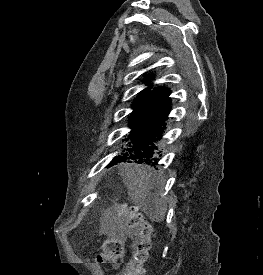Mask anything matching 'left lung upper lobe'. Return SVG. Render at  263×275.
Instances as JSON below:
<instances>
[{"label":"left lung upper lobe","mask_w":263,"mask_h":275,"mask_svg":"<svg viewBox=\"0 0 263 275\" xmlns=\"http://www.w3.org/2000/svg\"><path fill=\"white\" fill-rule=\"evenodd\" d=\"M152 88H153V84H149L148 87H146L144 90H142L138 94L137 98L134 100L133 105H132L134 110L140 104V102L144 99V97L151 91Z\"/></svg>","instance_id":"left-lung-upper-lobe-1"}]
</instances>
